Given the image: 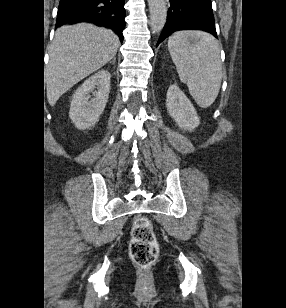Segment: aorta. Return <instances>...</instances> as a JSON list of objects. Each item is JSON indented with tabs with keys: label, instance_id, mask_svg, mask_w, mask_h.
I'll return each mask as SVG.
<instances>
[{
	"label": "aorta",
	"instance_id": "762f6f07",
	"mask_svg": "<svg viewBox=\"0 0 286 308\" xmlns=\"http://www.w3.org/2000/svg\"><path fill=\"white\" fill-rule=\"evenodd\" d=\"M150 11V25L153 34H158L165 26L167 7L165 0H148Z\"/></svg>",
	"mask_w": 286,
	"mask_h": 308
}]
</instances>
